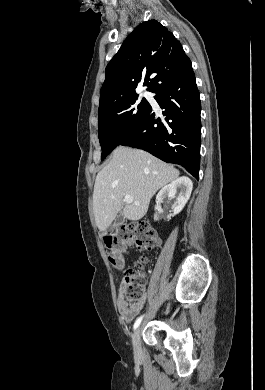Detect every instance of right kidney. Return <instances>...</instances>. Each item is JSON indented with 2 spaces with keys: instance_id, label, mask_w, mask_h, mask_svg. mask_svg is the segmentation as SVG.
<instances>
[{
  "instance_id": "right-kidney-1",
  "label": "right kidney",
  "mask_w": 265,
  "mask_h": 390,
  "mask_svg": "<svg viewBox=\"0 0 265 390\" xmlns=\"http://www.w3.org/2000/svg\"><path fill=\"white\" fill-rule=\"evenodd\" d=\"M192 188L193 183L186 176L180 177L164 186L156 197V214L154 215V220H158V214L162 213L161 203L165 197L169 199L176 198L175 204L173 205V216L180 213L190 198ZM178 190H180L179 193H177Z\"/></svg>"
}]
</instances>
